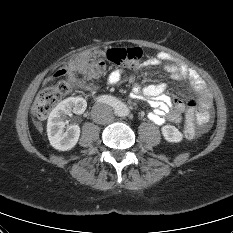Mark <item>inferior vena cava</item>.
I'll list each match as a JSON object with an SVG mask.
<instances>
[{
	"label": "inferior vena cava",
	"mask_w": 233,
	"mask_h": 233,
	"mask_svg": "<svg viewBox=\"0 0 233 233\" xmlns=\"http://www.w3.org/2000/svg\"><path fill=\"white\" fill-rule=\"evenodd\" d=\"M93 118L98 123H111L113 121V112L106 104H98L94 108Z\"/></svg>",
	"instance_id": "inferior-vena-cava-1"
}]
</instances>
